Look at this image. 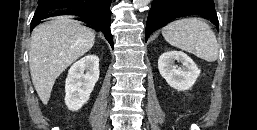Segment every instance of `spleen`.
I'll use <instances>...</instances> for the list:
<instances>
[{"label": "spleen", "mask_w": 257, "mask_h": 130, "mask_svg": "<svg viewBox=\"0 0 257 130\" xmlns=\"http://www.w3.org/2000/svg\"><path fill=\"white\" fill-rule=\"evenodd\" d=\"M164 39L174 47L196 55L207 62L218 58L219 46L209 25L200 18H184L162 29Z\"/></svg>", "instance_id": "obj_1"}]
</instances>
